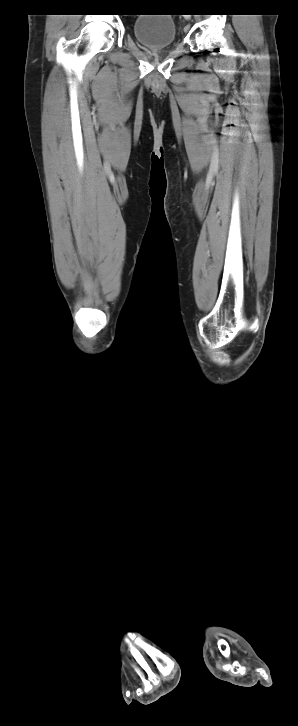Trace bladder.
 <instances>
[{"label": "bladder", "instance_id": "obj_1", "mask_svg": "<svg viewBox=\"0 0 298 726\" xmlns=\"http://www.w3.org/2000/svg\"><path fill=\"white\" fill-rule=\"evenodd\" d=\"M132 31L149 49L167 48L175 43L177 35L175 22L167 14H140L133 22Z\"/></svg>", "mask_w": 298, "mask_h": 726}]
</instances>
